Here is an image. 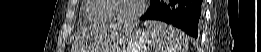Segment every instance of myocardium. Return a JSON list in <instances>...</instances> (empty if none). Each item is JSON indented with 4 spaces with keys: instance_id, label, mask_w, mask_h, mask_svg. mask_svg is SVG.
Instances as JSON below:
<instances>
[{
    "instance_id": "f54148a6",
    "label": "myocardium",
    "mask_w": 261,
    "mask_h": 52,
    "mask_svg": "<svg viewBox=\"0 0 261 52\" xmlns=\"http://www.w3.org/2000/svg\"><path fill=\"white\" fill-rule=\"evenodd\" d=\"M113 6H114V4H113L112 0H106L105 1L104 10L107 13V15L110 17V20H111L112 23L132 24V23L136 22L142 16V14L144 13L145 8H146V1L140 0V5H139V8L137 9V11L127 18H114L111 14Z\"/></svg>"
}]
</instances>
